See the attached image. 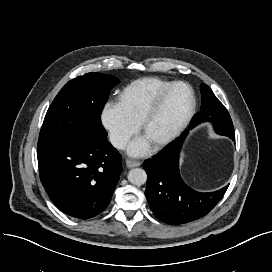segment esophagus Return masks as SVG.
Masks as SVG:
<instances>
[{
    "label": "esophagus",
    "instance_id": "obj_1",
    "mask_svg": "<svg viewBox=\"0 0 272 272\" xmlns=\"http://www.w3.org/2000/svg\"><path fill=\"white\" fill-rule=\"evenodd\" d=\"M141 165V162L138 160H132V159H127L126 160V166L128 168H133V167H138Z\"/></svg>",
    "mask_w": 272,
    "mask_h": 272
}]
</instances>
